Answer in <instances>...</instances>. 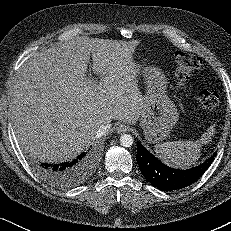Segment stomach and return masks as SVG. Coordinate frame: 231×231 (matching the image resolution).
<instances>
[{"instance_id": "stomach-1", "label": "stomach", "mask_w": 231, "mask_h": 231, "mask_svg": "<svg viewBox=\"0 0 231 231\" xmlns=\"http://www.w3.org/2000/svg\"><path fill=\"white\" fill-rule=\"evenodd\" d=\"M142 76L146 93L140 115V127L149 143L166 139L178 121V111L168 96V80L164 73L154 66H145Z\"/></svg>"}]
</instances>
